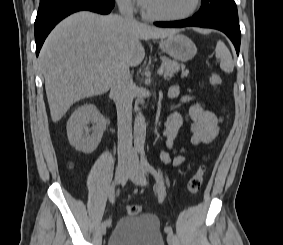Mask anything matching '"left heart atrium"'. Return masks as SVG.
Returning a JSON list of instances; mask_svg holds the SVG:
<instances>
[{"mask_svg":"<svg viewBox=\"0 0 283 245\" xmlns=\"http://www.w3.org/2000/svg\"><path fill=\"white\" fill-rule=\"evenodd\" d=\"M141 4H144L146 0H138Z\"/></svg>","mask_w":283,"mask_h":245,"instance_id":"1","label":"left heart atrium"}]
</instances>
